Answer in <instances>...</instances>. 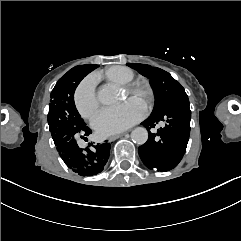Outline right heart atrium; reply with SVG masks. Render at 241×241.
<instances>
[{
	"label": "right heart atrium",
	"instance_id": "obj_1",
	"mask_svg": "<svg viewBox=\"0 0 241 241\" xmlns=\"http://www.w3.org/2000/svg\"><path fill=\"white\" fill-rule=\"evenodd\" d=\"M100 78L91 74L76 90L74 103L77 111L83 118H89L97 110L99 103L95 90L99 87Z\"/></svg>",
	"mask_w": 241,
	"mask_h": 241
}]
</instances>
